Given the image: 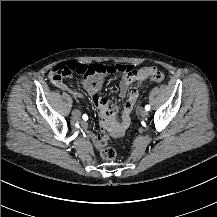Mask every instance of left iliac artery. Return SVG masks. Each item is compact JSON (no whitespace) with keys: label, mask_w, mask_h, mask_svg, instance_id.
Listing matches in <instances>:
<instances>
[{"label":"left iliac artery","mask_w":217,"mask_h":217,"mask_svg":"<svg viewBox=\"0 0 217 217\" xmlns=\"http://www.w3.org/2000/svg\"><path fill=\"white\" fill-rule=\"evenodd\" d=\"M145 110L149 111L150 110V105H146Z\"/></svg>","instance_id":"left-iliac-artery-1"}]
</instances>
